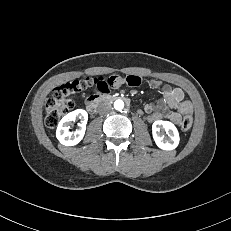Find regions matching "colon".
I'll list each match as a JSON object with an SVG mask.
<instances>
[{
	"mask_svg": "<svg viewBox=\"0 0 231 231\" xmlns=\"http://www.w3.org/2000/svg\"><path fill=\"white\" fill-rule=\"evenodd\" d=\"M104 78L105 77H90L76 80L56 88L45 104L46 125L51 128L57 126L60 119L73 108V97H84L90 89L97 85L99 80ZM192 123V116L190 114L185 115L180 124L181 130L184 132L189 131Z\"/></svg>",
	"mask_w": 231,
	"mask_h": 231,
	"instance_id": "5ec220e1",
	"label": "colon"
}]
</instances>
